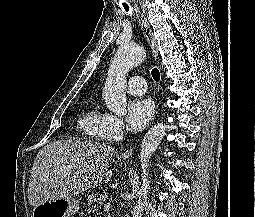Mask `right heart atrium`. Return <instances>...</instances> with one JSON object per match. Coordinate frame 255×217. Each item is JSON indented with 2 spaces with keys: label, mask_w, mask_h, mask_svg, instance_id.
Returning a JSON list of instances; mask_svg holds the SVG:
<instances>
[{
  "label": "right heart atrium",
  "mask_w": 255,
  "mask_h": 217,
  "mask_svg": "<svg viewBox=\"0 0 255 217\" xmlns=\"http://www.w3.org/2000/svg\"><path fill=\"white\" fill-rule=\"evenodd\" d=\"M102 133L105 138L118 139L123 136L124 123L114 114L104 113L102 121Z\"/></svg>",
  "instance_id": "obj_1"
}]
</instances>
